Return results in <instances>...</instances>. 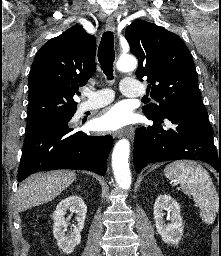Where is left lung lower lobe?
Instances as JSON below:
<instances>
[{"mask_svg":"<svg viewBox=\"0 0 221 256\" xmlns=\"http://www.w3.org/2000/svg\"><path fill=\"white\" fill-rule=\"evenodd\" d=\"M154 125L135 133L134 167L139 173L148 163L192 159L211 164L221 173V152L214 145L207 111L171 110L160 118H148ZM167 120L171 128L161 124Z\"/></svg>","mask_w":221,"mask_h":256,"instance_id":"0a47b994","label":"left lung lower lobe"}]
</instances>
